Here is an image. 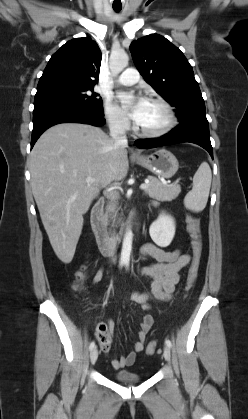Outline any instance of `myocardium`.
Wrapping results in <instances>:
<instances>
[{"label":"myocardium","mask_w":248,"mask_h":419,"mask_svg":"<svg viewBox=\"0 0 248 419\" xmlns=\"http://www.w3.org/2000/svg\"><path fill=\"white\" fill-rule=\"evenodd\" d=\"M149 101L153 102V103H156V104H159L164 109V111L166 113V116H167L166 123L161 128H159L157 130H151V131L144 130V129L139 127L138 123H135L134 130L138 135H140L142 137L158 138V137L166 135L167 133H169L175 127V125L177 123V117H176V113H175L173 107L164 98H162V97H151V98H149Z\"/></svg>","instance_id":"obj_1"}]
</instances>
